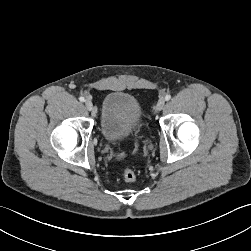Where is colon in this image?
I'll list each match as a JSON object with an SVG mask.
<instances>
[{"instance_id": "colon-1", "label": "colon", "mask_w": 251, "mask_h": 251, "mask_svg": "<svg viewBox=\"0 0 251 251\" xmlns=\"http://www.w3.org/2000/svg\"><path fill=\"white\" fill-rule=\"evenodd\" d=\"M122 177L126 182H133L136 180V172L131 168H124L122 171Z\"/></svg>"}]
</instances>
